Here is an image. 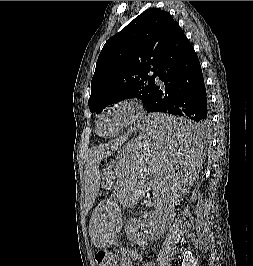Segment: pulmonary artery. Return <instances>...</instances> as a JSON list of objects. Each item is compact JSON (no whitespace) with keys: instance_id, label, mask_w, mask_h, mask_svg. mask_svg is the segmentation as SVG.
<instances>
[{"instance_id":"obj_1","label":"pulmonary artery","mask_w":253,"mask_h":266,"mask_svg":"<svg viewBox=\"0 0 253 266\" xmlns=\"http://www.w3.org/2000/svg\"><path fill=\"white\" fill-rule=\"evenodd\" d=\"M151 75H152V76H155V81H156L157 83H160V82H161L159 76L156 75L154 72H151Z\"/></svg>"}]
</instances>
